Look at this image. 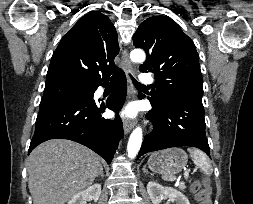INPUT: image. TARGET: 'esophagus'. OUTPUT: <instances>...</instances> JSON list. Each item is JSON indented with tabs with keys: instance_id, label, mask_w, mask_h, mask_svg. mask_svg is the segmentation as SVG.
Wrapping results in <instances>:
<instances>
[{
	"instance_id": "esophagus-1",
	"label": "esophagus",
	"mask_w": 253,
	"mask_h": 204,
	"mask_svg": "<svg viewBox=\"0 0 253 204\" xmlns=\"http://www.w3.org/2000/svg\"><path fill=\"white\" fill-rule=\"evenodd\" d=\"M122 66L124 70L127 72V74L133 73V65H132V62L130 61L129 53L127 49H125L124 52L122 53ZM127 79H128V98L129 100L135 99L136 90L129 76L127 77ZM134 125H135L134 120L124 119L123 120L124 133L128 134L133 129Z\"/></svg>"
}]
</instances>
